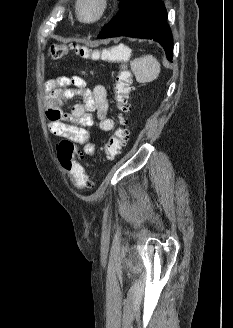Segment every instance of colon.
<instances>
[{
  "instance_id": "obj_1",
  "label": "colon",
  "mask_w": 233,
  "mask_h": 328,
  "mask_svg": "<svg viewBox=\"0 0 233 328\" xmlns=\"http://www.w3.org/2000/svg\"><path fill=\"white\" fill-rule=\"evenodd\" d=\"M70 52L86 59L126 61L130 53L118 46L109 47L102 51L92 50L78 44H52L48 50V57L53 60L60 59ZM114 96L119 111V125L104 146V152L108 159L116 157L125 146L129 131L126 124V116L130 111V98L133 91V79L131 72L122 65L114 79ZM57 157L61 167L71 175L74 184L80 189L89 188V178L80 164L82 154L77 150L70 139L64 138L57 146Z\"/></svg>"
}]
</instances>
